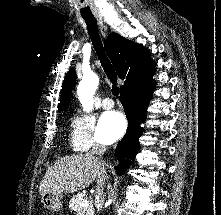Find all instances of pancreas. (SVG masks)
<instances>
[{
	"label": "pancreas",
	"instance_id": "1",
	"mask_svg": "<svg viewBox=\"0 0 221 215\" xmlns=\"http://www.w3.org/2000/svg\"><path fill=\"white\" fill-rule=\"evenodd\" d=\"M85 192H79L75 195H73V197L71 198L70 202H69V208L71 211H75V212H85L86 211V215H93V205L90 202L88 204V206L85 207H80V203L85 201ZM84 215V214H82Z\"/></svg>",
	"mask_w": 221,
	"mask_h": 215
}]
</instances>
